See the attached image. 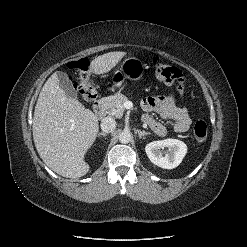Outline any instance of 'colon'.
Wrapping results in <instances>:
<instances>
[{
    "instance_id": "colon-1",
    "label": "colon",
    "mask_w": 247,
    "mask_h": 247,
    "mask_svg": "<svg viewBox=\"0 0 247 247\" xmlns=\"http://www.w3.org/2000/svg\"><path fill=\"white\" fill-rule=\"evenodd\" d=\"M154 64L155 75L160 82L168 86L182 83L183 76L178 68L162 63L158 59L154 60ZM68 67L72 70L77 71L80 75V83L76 84V89L79 96L84 101L93 100L96 97L97 93L89 80V60L87 58H80L71 61L68 64ZM193 135L198 142H204L207 139L208 126L204 120H198L194 124Z\"/></svg>"
}]
</instances>
